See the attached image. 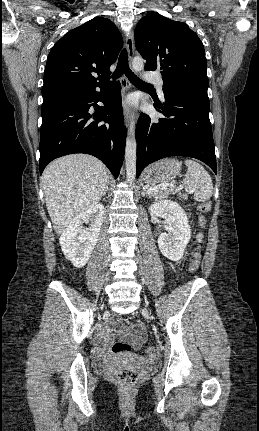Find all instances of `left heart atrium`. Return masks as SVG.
<instances>
[{"label": "left heart atrium", "instance_id": "left-heart-atrium-1", "mask_svg": "<svg viewBox=\"0 0 259 431\" xmlns=\"http://www.w3.org/2000/svg\"><path fill=\"white\" fill-rule=\"evenodd\" d=\"M133 102H134L133 98H129L127 101L128 104H133Z\"/></svg>", "mask_w": 259, "mask_h": 431}]
</instances>
